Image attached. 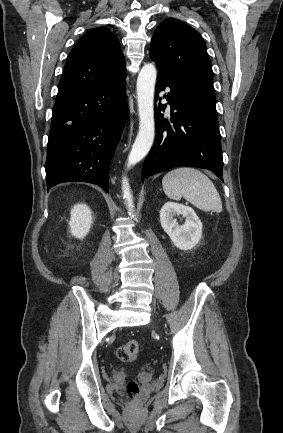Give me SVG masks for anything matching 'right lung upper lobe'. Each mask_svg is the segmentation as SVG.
<instances>
[{"label": "right lung upper lobe", "mask_w": 283, "mask_h": 433, "mask_svg": "<svg viewBox=\"0 0 283 433\" xmlns=\"http://www.w3.org/2000/svg\"><path fill=\"white\" fill-rule=\"evenodd\" d=\"M126 76L118 39L106 28H93L71 50L57 97L115 84Z\"/></svg>", "instance_id": "obj_1"}]
</instances>
